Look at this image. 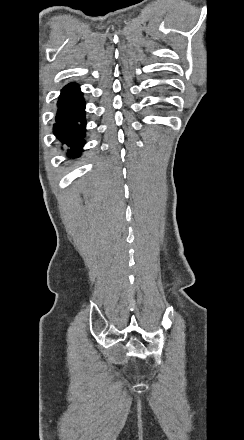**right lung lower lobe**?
I'll return each mask as SVG.
<instances>
[{"instance_id": "right-lung-lower-lobe-1", "label": "right lung lower lobe", "mask_w": 244, "mask_h": 440, "mask_svg": "<svg viewBox=\"0 0 244 440\" xmlns=\"http://www.w3.org/2000/svg\"><path fill=\"white\" fill-rule=\"evenodd\" d=\"M85 102L76 84L66 86L58 102V114L54 132L57 137L71 149L70 156H77L84 144Z\"/></svg>"}]
</instances>
